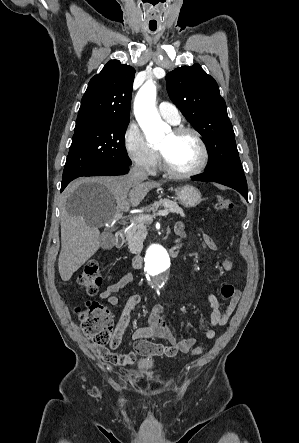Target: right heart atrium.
I'll return each instance as SVG.
<instances>
[{
    "instance_id": "d8ad5b80",
    "label": "right heart atrium",
    "mask_w": 299,
    "mask_h": 443,
    "mask_svg": "<svg viewBox=\"0 0 299 443\" xmlns=\"http://www.w3.org/2000/svg\"><path fill=\"white\" fill-rule=\"evenodd\" d=\"M123 146L128 158L145 172H153L158 164V154L146 141L139 126L131 122L123 133Z\"/></svg>"
}]
</instances>
